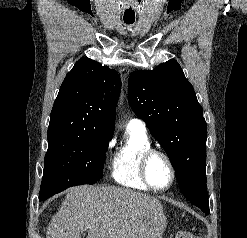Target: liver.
<instances>
[{"mask_svg":"<svg viewBox=\"0 0 247 238\" xmlns=\"http://www.w3.org/2000/svg\"><path fill=\"white\" fill-rule=\"evenodd\" d=\"M165 225L154 197L127 188L83 185L67 190L47 238H157Z\"/></svg>","mask_w":247,"mask_h":238,"instance_id":"obj_1","label":"liver"}]
</instances>
